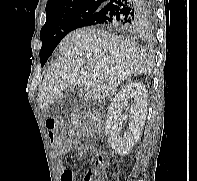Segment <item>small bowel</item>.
Instances as JSON below:
<instances>
[{
	"mask_svg": "<svg viewBox=\"0 0 197 181\" xmlns=\"http://www.w3.org/2000/svg\"><path fill=\"white\" fill-rule=\"evenodd\" d=\"M75 148L78 154H82L86 147L83 146L76 139H67L64 141L59 149H56L55 157L58 162H62L66 154L72 149ZM61 181H74V172L73 170L64 165L59 166Z\"/></svg>",
	"mask_w": 197,
	"mask_h": 181,
	"instance_id": "1",
	"label": "small bowel"
}]
</instances>
